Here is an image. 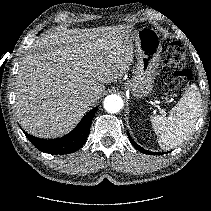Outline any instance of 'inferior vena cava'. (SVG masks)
Returning a JSON list of instances; mask_svg holds the SVG:
<instances>
[{
  "mask_svg": "<svg viewBox=\"0 0 211 211\" xmlns=\"http://www.w3.org/2000/svg\"><path fill=\"white\" fill-rule=\"evenodd\" d=\"M84 101L88 104H93L97 101V96L94 94H87L84 97Z\"/></svg>",
  "mask_w": 211,
  "mask_h": 211,
  "instance_id": "inferior-vena-cava-1",
  "label": "inferior vena cava"
}]
</instances>
